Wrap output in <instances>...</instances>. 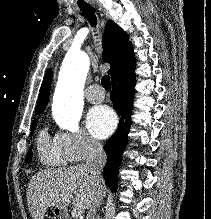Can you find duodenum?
Masks as SVG:
<instances>
[{
	"mask_svg": "<svg viewBox=\"0 0 211 219\" xmlns=\"http://www.w3.org/2000/svg\"><path fill=\"white\" fill-rule=\"evenodd\" d=\"M59 217L60 219H68L67 212L64 209H59Z\"/></svg>",
	"mask_w": 211,
	"mask_h": 219,
	"instance_id": "1",
	"label": "duodenum"
}]
</instances>
